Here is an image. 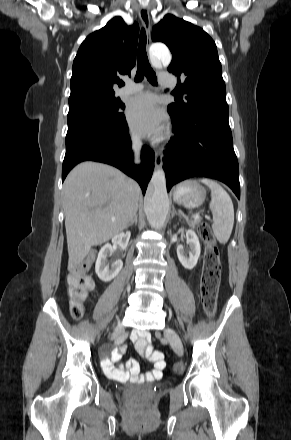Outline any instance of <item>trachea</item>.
<instances>
[{
	"instance_id": "trachea-1",
	"label": "trachea",
	"mask_w": 291,
	"mask_h": 440,
	"mask_svg": "<svg viewBox=\"0 0 291 440\" xmlns=\"http://www.w3.org/2000/svg\"><path fill=\"white\" fill-rule=\"evenodd\" d=\"M144 76L152 85H157V77L153 69L151 68L147 52H146V33L142 28L140 33L139 45H138V61H137V73L135 81H142Z\"/></svg>"
}]
</instances>
